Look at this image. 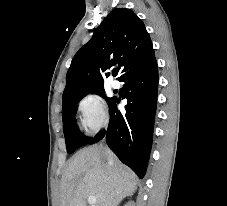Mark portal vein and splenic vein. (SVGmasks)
<instances>
[{"instance_id": "18ae733b", "label": "portal vein and splenic vein", "mask_w": 227, "mask_h": 206, "mask_svg": "<svg viewBox=\"0 0 227 206\" xmlns=\"http://www.w3.org/2000/svg\"><path fill=\"white\" fill-rule=\"evenodd\" d=\"M88 203L89 204H91L92 206H95V204H96V198H95V196H89L88 197Z\"/></svg>"}]
</instances>
